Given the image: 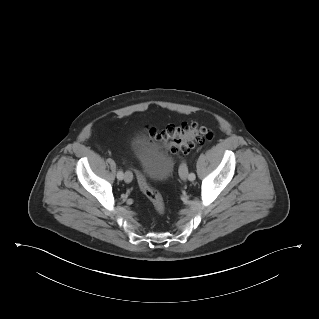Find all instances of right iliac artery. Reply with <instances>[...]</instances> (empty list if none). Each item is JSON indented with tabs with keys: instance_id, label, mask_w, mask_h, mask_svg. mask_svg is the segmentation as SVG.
Returning a JSON list of instances; mask_svg holds the SVG:
<instances>
[{
	"instance_id": "obj_1",
	"label": "right iliac artery",
	"mask_w": 319,
	"mask_h": 319,
	"mask_svg": "<svg viewBox=\"0 0 319 319\" xmlns=\"http://www.w3.org/2000/svg\"><path fill=\"white\" fill-rule=\"evenodd\" d=\"M123 176H124L123 171L119 170L118 173H117V178H118L119 180H122V179H123Z\"/></svg>"
}]
</instances>
